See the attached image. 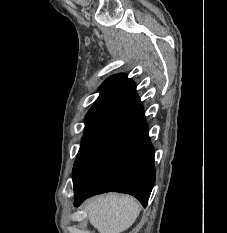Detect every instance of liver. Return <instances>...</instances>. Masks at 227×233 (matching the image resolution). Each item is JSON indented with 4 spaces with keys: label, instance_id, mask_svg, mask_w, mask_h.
Returning a JSON list of instances; mask_svg holds the SVG:
<instances>
[{
    "label": "liver",
    "instance_id": "6515ba94",
    "mask_svg": "<svg viewBox=\"0 0 227 233\" xmlns=\"http://www.w3.org/2000/svg\"><path fill=\"white\" fill-rule=\"evenodd\" d=\"M85 210L99 233H122L135 222L140 204L132 196L112 193L88 200Z\"/></svg>",
    "mask_w": 227,
    "mask_h": 233
}]
</instances>
